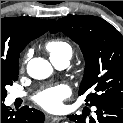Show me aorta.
Here are the masks:
<instances>
[{
  "mask_svg": "<svg viewBox=\"0 0 123 123\" xmlns=\"http://www.w3.org/2000/svg\"><path fill=\"white\" fill-rule=\"evenodd\" d=\"M52 72L53 68L51 64L43 58H33L27 64V73L34 79H46L52 74Z\"/></svg>",
  "mask_w": 123,
  "mask_h": 123,
  "instance_id": "1",
  "label": "aorta"
}]
</instances>
